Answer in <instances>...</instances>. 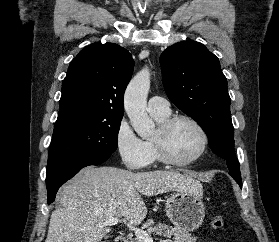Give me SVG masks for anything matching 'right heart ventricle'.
Segmentation results:
<instances>
[{
	"label": "right heart ventricle",
	"mask_w": 279,
	"mask_h": 242,
	"mask_svg": "<svg viewBox=\"0 0 279 242\" xmlns=\"http://www.w3.org/2000/svg\"><path fill=\"white\" fill-rule=\"evenodd\" d=\"M151 116L156 120L157 123H162L165 119H167L170 115V111L168 113H158V112H150ZM150 154H151V159L152 161L154 160H160L159 155L157 153L156 147L153 143L152 139H148L145 141Z\"/></svg>",
	"instance_id": "e07e8e85"
}]
</instances>
